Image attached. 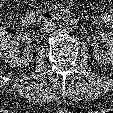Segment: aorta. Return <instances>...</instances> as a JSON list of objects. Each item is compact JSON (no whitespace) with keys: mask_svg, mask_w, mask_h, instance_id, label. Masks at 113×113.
Returning <instances> with one entry per match:
<instances>
[{"mask_svg":"<svg viewBox=\"0 0 113 113\" xmlns=\"http://www.w3.org/2000/svg\"><path fill=\"white\" fill-rule=\"evenodd\" d=\"M62 29L65 33H72L78 29V23L73 18L66 19L62 24Z\"/></svg>","mask_w":113,"mask_h":113,"instance_id":"aorta-1","label":"aorta"}]
</instances>
